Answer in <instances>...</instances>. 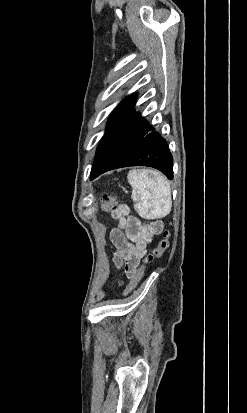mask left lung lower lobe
Wrapping results in <instances>:
<instances>
[{
    "instance_id": "obj_1",
    "label": "left lung lower lobe",
    "mask_w": 247,
    "mask_h": 413,
    "mask_svg": "<svg viewBox=\"0 0 247 413\" xmlns=\"http://www.w3.org/2000/svg\"><path fill=\"white\" fill-rule=\"evenodd\" d=\"M128 166L154 167L173 179V158L165 139L154 132L133 107L102 137L90 180L106 171Z\"/></svg>"
}]
</instances>
